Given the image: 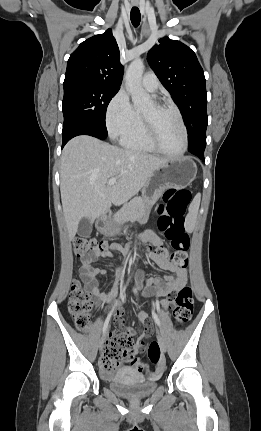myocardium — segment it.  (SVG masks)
I'll return each mask as SVG.
<instances>
[{
    "instance_id": "1",
    "label": "myocardium",
    "mask_w": 261,
    "mask_h": 431,
    "mask_svg": "<svg viewBox=\"0 0 261 431\" xmlns=\"http://www.w3.org/2000/svg\"><path fill=\"white\" fill-rule=\"evenodd\" d=\"M153 105H154L155 109H157V110H171L176 114L177 119H178L180 126H181V129H182L183 146H182V149L178 153L172 154V153L165 151L158 142L156 130H155V126H154L153 122L148 117H146L145 115L142 114L141 118H142L143 126H144L148 140L150 141V143L153 145V147L159 153H161L167 157L179 158V157L183 156L185 154V152L187 151V148H188V132H187V128H186L185 122L183 120V117L181 115V112L179 111V109L176 106L169 104V103L155 101V102H153Z\"/></svg>"
}]
</instances>
